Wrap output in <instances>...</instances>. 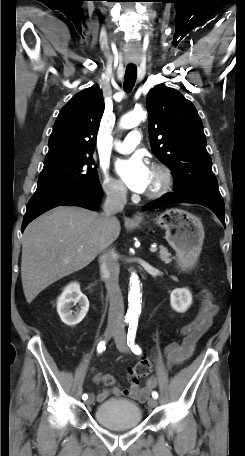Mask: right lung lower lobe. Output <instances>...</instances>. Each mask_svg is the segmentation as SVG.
<instances>
[{
    "label": "right lung lower lobe",
    "instance_id": "98d812e1",
    "mask_svg": "<svg viewBox=\"0 0 245 456\" xmlns=\"http://www.w3.org/2000/svg\"><path fill=\"white\" fill-rule=\"evenodd\" d=\"M101 195L102 191L99 185L89 189L63 190L33 196L27 205L22 223V232L33 219L56 206L72 205L95 210L98 207Z\"/></svg>",
    "mask_w": 245,
    "mask_h": 456
}]
</instances>
